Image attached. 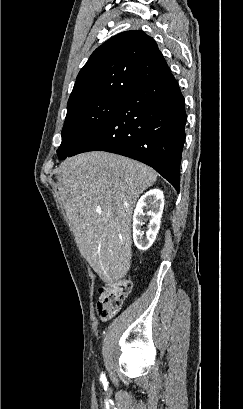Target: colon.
<instances>
[{
	"label": "colon",
	"mask_w": 243,
	"mask_h": 409,
	"mask_svg": "<svg viewBox=\"0 0 243 409\" xmlns=\"http://www.w3.org/2000/svg\"><path fill=\"white\" fill-rule=\"evenodd\" d=\"M130 291L131 283L127 279H117L103 284L98 290L97 315L101 319L113 316L122 306Z\"/></svg>",
	"instance_id": "5ec220e1"
}]
</instances>
